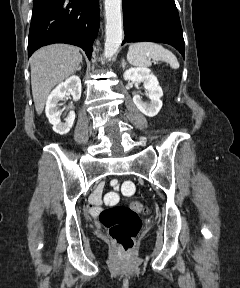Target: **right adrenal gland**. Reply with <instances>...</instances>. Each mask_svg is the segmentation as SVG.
<instances>
[{"instance_id": "2a0ac1e0", "label": "right adrenal gland", "mask_w": 240, "mask_h": 288, "mask_svg": "<svg viewBox=\"0 0 240 288\" xmlns=\"http://www.w3.org/2000/svg\"><path fill=\"white\" fill-rule=\"evenodd\" d=\"M82 63V62H81ZM81 70V66H79L78 68H77V71H80Z\"/></svg>"}]
</instances>
